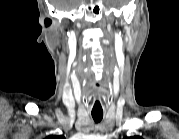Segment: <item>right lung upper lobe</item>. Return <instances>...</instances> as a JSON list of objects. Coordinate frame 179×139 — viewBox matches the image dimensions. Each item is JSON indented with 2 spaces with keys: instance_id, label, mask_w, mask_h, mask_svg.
Wrapping results in <instances>:
<instances>
[{
  "instance_id": "right-lung-upper-lobe-1",
  "label": "right lung upper lobe",
  "mask_w": 179,
  "mask_h": 139,
  "mask_svg": "<svg viewBox=\"0 0 179 139\" xmlns=\"http://www.w3.org/2000/svg\"><path fill=\"white\" fill-rule=\"evenodd\" d=\"M63 136H49L47 139H59L62 138Z\"/></svg>"
}]
</instances>
